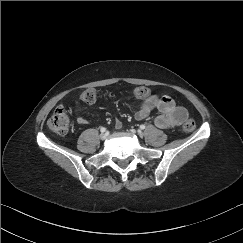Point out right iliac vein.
<instances>
[{
  "label": "right iliac vein",
  "instance_id": "obj_1",
  "mask_svg": "<svg viewBox=\"0 0 243 243\" xmlns=\"http://www.w3.org/2000/svg\"><path fill=\"white\" fill-rule=\"evenodd\" d=\"M106 138H107V134H105V133L100 134L101 140H105Z\"/></svg>",
  "mask_w": 243,
  "mask_h": 243
}]
</instances>
